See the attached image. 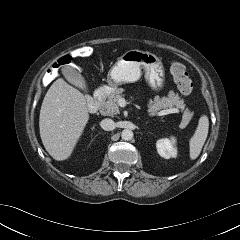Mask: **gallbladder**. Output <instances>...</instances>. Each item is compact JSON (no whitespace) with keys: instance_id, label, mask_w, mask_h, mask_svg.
<instances>
[{"instance_id":"bac80fb5","label":"gallbladder","mask_w":240,"mask_h":240,"mask_svg":"<svg viewBox=\"0 0 240 240\" xmlns=\"http://www.w3.org/2000/svg\"><path fill=\"white\" fill-rule=\"evenodd\" d=\"M63 75L66 80L83 92L87 93L88 88L84 77L81 74L80 69L75 65H68L62 68Z\"/></svg>"}]
</instances>
